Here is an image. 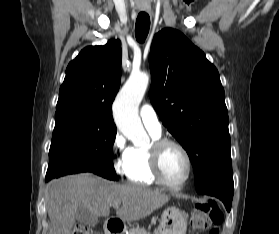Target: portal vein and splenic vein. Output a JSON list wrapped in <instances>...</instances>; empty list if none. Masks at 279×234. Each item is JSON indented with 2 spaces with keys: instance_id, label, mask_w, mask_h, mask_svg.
Segmentation results:
<instances>
[{
  "instance_id": "obj_1",
  "label": "portal vein and splenic vein",
  "mask_w": 279,
  "mask_h": 234,
  "mask_svg": "<svg viewBox=\"0 0 279 234\" xmlns=\"http://www.w3.org/2000/svg\"><path fill=\"white\" fill-rule=\"evenodd\" d=\"M119 205H120L119 203H114L113 207L117 209L119 207Z\"/></svg>"
}]
</instances>
